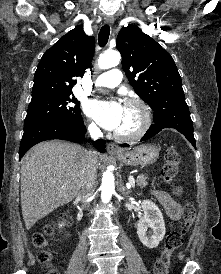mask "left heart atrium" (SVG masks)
I'll return each mask as SVG.
<instances>
[{"label": "left heart atrium", "mask_w": 221, "mask_h": 274, "mask_svg": "<svg viewBox=\"0 0 221 274\" xmlns=\"http://www.w3.org/2000/svg\"><path fill=\"white\" fill-rule=\"evenodd\" d=\"M86 113L103 128L117 130L123 115V106L116 100H92L86 105Z\"/></svg>", "instance_id": "left-heart-atrium-1"}]
</instances>
